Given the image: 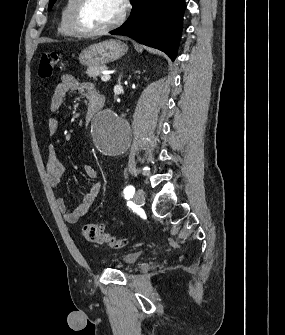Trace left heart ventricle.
<instances>
[{
    "mask_svg": "<svg viewBox=\"0 0 285 335\" xmlns=\"http://www.w3.org/2000/svg\"><path fill=\"white\" fill-rule=\"evenodd\" d=\"M118 13V1H90L83 11V22L91 29H101Z\"/></svg>",
    "mask_w": 285,
    "mask_h": 335,
    "instance_id": "obj_1",
    "label": "left heart ventricle"
}]
</instances>
